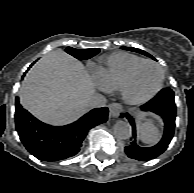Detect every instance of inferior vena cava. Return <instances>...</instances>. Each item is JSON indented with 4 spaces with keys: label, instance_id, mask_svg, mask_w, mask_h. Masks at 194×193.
<instances>
[{
    "label": "inferior vena cava",
    "instance_id": "obj_1",
    "mask_svg": "<svg viewBox=\"0 0 194 193\" xmlns=\"http://www.w3.org/2000/svg\"><path fill=\"white\" fill-rule=\"evenodd\" d=\"M106 103V98L102 94L92 95L86 102L89 109L103 107Z\"/></svg>",
    "mask_w": 194,
    "mask_h": 193
}]
</instances>
